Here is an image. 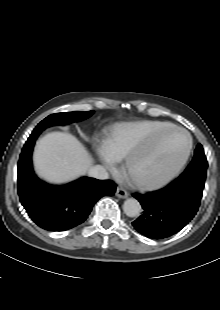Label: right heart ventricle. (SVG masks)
Returning a JSON list of instances; mask_svg holds the SVG:
<instances>
[{
  "label": "right heart ventricle",
  "mask_w": 220,
  "mask_h": 310,
  "mask_svg": "<svg viewBox=\"0 0 220 310\" xmlns=\"http://www.w3.org/2000/svg\"><path fill=\"white\" fill-rule=\"evenodd\" d=\"M169 125L167 122L152 120L120 125L103 144V151L112 161L119 162L145 144L155 132Z\"/></svg>",
  "instance_id": "1"
}]
</instances>
